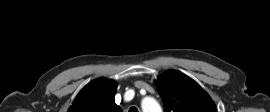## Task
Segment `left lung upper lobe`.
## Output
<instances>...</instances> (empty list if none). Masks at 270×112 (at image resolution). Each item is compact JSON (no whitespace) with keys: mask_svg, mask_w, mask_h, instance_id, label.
<instances>
[{"mask_svg":"<svg viewBox=\"0 0 270 112\" xmlns=\"http://www.w3.org/2000/svg\"><path fill=\"white\" fill-rule=\"evenodd\" d=\"M164 112H216L211 97L187 75L169 70L157 79Z\"/></svg>","mask_w":270,"mask_h":112,"instance_id":"left-lung-upper-lobe-1","label":"left lung upper lobe"}]
</instances>
